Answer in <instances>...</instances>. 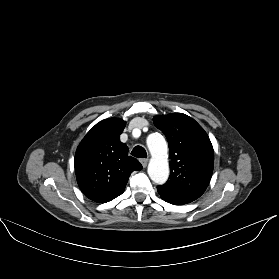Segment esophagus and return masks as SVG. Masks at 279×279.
<instances>
[{"label":"esophagus","mask_w":279,"mask_h":279,"mask_svg":"<svg viewBox=\"0 0 279 279\" xmlns=\"http://www.w3.org/2000/svg\"><path fill=\"white\" fill-rule=\"evenodd\" d=\"M148 161H149V160H148L147 158L141 159V160H140V162H141V164H142V166H143L144 168L147 166Z\"/></svg>","instance_id":"obj_1"}]
</instances>
